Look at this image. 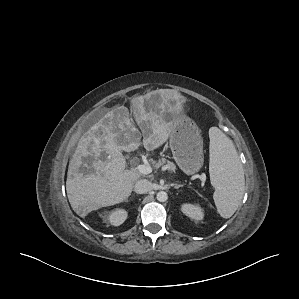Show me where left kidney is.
<instances>
[{"label": "left kidney", "mask_w": 299, "mask_h": 299, "mask_svg": "<svg viewBox=\"0 0 299 299\" xmlns=\"http://www.w3.org/2000/svg\"><path fill=\"white\" fill-rule=\"evenodd\" d=\"M181 210L186 216L195 220H202L204 217L203 210L199 205L185 203L182 205Z\"/></svg>", "instance_id": "1"}]
</instances>
